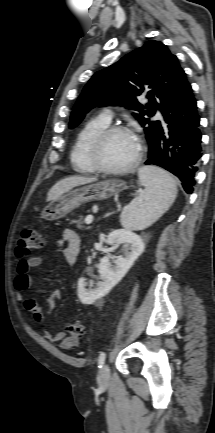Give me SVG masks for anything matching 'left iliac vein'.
<instances>
[{
    "label": "left iliac vein",
    "instance_id": "4c4485c4",
    "mask_svg": "<svg viewBox=\"0 0 215 433\" xmlns=\"http://www.w3.org/2000/svg\"><path fill=\"white\" fill-rule=\"evenodd\" d=\"M110 377V371L108 364H103L99 370L98 382L100 384H107Z\"/></svg>",
    "mask_w": 215,
    "mask_h": 433
}]
</instances>
